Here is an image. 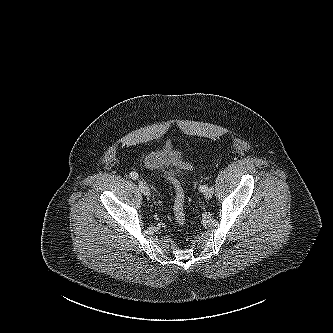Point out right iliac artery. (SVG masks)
<instances>
[{"mask_svg":"<svg viewBox=\"0 0 333 333\" xmlns=\"http://www.w3.org/2000/svg\"><path fill=\"white\" fill-rule=\"evenodd\" d=\"M130 178L133 179V180H136V179H138V174L136 172H131L130 173Z\"/></svg>","mask_w":333,"mask_h":333,"instance_id":"right-iliac-artery-1","label":"right iliac artery"}]
</instances>
